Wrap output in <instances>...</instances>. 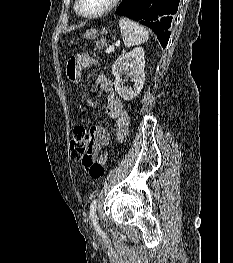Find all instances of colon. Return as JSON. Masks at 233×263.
Masks as SVG:
<instances>
[{
  "mask_svg": "<svg viewBox=\"0 0 233 263\" xmlns=\"http://www.w3.org/2000/svg\"><path fill=\"white\" fill-rule=\"evenodd\" d=\"M96 126L91 125L89 120L82 119L75 126L70 140L71 155L74 160L82 161L83 166L93 179H101L105 175V165L94 162L91 157V143Z\"/></svg>",
  "mask_w": 233,
  "mask_h": 263,
  "instance_id": "colon-1",
  "label": "colon"
}]
</instances>
